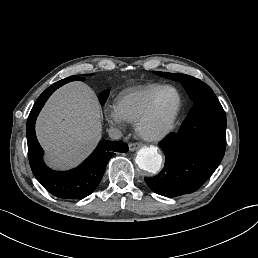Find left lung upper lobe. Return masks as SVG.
I'll list each match as a JSON object with an SVG mask.
<instances>
[{
  "label": "left lung upper lobe",
  "mask_w": 258,
  "mask_h": 258,
  "mask_svg": "<svg viewBox=\"0 0 258 258\" xmlns=\"http://www.w3.org/2000/svg\"><path fill=\"white\" fill-rule=\"evenodd\" d=\"M154 73L181 82L194 103L181 129H190L202 123H211L226 127L225 112L216 95L206 83L185 74Z\"/></svg>",
  "instance_id": "1"
}]
</instances>
